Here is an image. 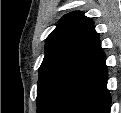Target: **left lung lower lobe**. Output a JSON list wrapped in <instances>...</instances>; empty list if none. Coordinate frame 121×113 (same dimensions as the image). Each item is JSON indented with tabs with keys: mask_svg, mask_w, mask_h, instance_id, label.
<instances>
[{
	"mask_svg": "<svg viewBox=\"0 0 121 113\" xmlns=\"http://www.w3.org/2000/svg\"><path fill=\"white\" fill-rule=\"evenodd\" d=\"M111 97L107 90V69L81 98L71 113H110Z\"/></svg>",
	"mask_w": 121,
	"mask_h": 113,
	"instance_id": "left-lung-lower-lobe-1",
	"label": "left lung lower lobe"
}]
</instances>
